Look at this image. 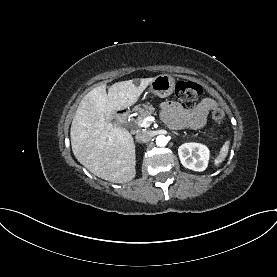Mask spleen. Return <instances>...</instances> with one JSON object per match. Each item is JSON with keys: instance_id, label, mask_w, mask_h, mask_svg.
I'll use <instances>...</instances> for the list:
<instances>
[{"instance_id": "obj_1", "label": "spleen", "mask_w": 277, "mask_h": 277, "mask_svg": "<svg viewBox=\"0 0 277 277\" xmlns=\"http://www.w3.org/2000/svg\"><path fill=\"white\" fill-rule=\"evenodd\" d=\"M229 144L230 142L227 140L221 147L219 155L215 158V161H214L216 166L222 163L226 158L229 151Z\"/></svg>"}]
</instances>
